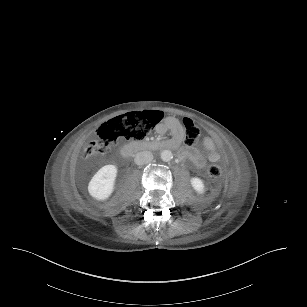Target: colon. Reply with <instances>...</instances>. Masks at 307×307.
Instances as JSON below:
<instances>
[{
  "instance_id": "colon-1",
  "label": "colon",
  "mask_w": 307,
  "mask_h": 307,
  "mask_svg": "<svg viewBox=\"0 0 307 307\" xmlns=\"http://www.w3.org/2000/svg\"><path fill=\"white\" fill-rule=\"evenodd\" d=\"M164 114L159 110L127 113L112 118L103 123L97 131L98 139L91 140L84 147V157L90 158L99 153L109 150L112 144L120 140L138 141L143 139L162 120ZM184 127V140L187 146L195 145L201 136L198 125L191 122L189 115L182 117ZM208 176L219 179L221 176L220 166L212 162L208 166Z\"/></svg>"
}]
</instances>
